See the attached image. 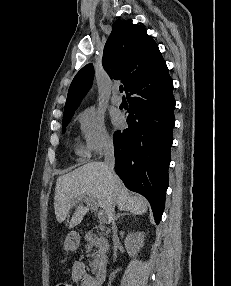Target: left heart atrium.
I'll list each match as a JSON object with an SVG mask.
<instances>
[{"instance_id":"1","label":"left heart atrium","mask_w":231,"mask_h":286,"mask_svg":"<svg viewBox=\"0 0 231 286\" xmlns=\"http://www.w3.org/2000/svg\"><path fill=\"white\" fill-rule=\"evenodd\" d=\"M115 124L119 125L121 123V119L119 117L115 118Z\"/></svg>"}]
</instances>
